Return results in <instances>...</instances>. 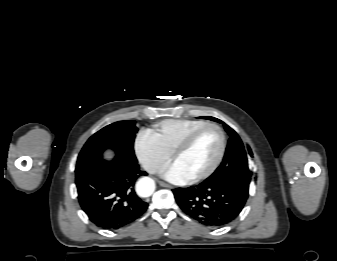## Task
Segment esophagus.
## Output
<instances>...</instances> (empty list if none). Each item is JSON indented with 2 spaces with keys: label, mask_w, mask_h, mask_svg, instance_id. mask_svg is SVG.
<instances>
[{
  "label": "esophagus",
  "mask_w": 337,
  "mask_h": 261,
  "mask_svg": "<svg viewBox=\"0 0 337 261\" xmlns=\"http://www.w3.org/2000/svg\"><path fill=\"white\" fill-rule=\"evenodd\" d=\"M158 183H159V185H160V186H162V187H165V188H170V189H172V188H173V186H172V185H170V184H167V183H165V182H163V181H158Z\"/></svg>",
  "instance_id": "34e87169"
}]
</instances>
